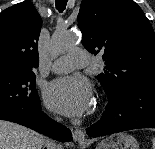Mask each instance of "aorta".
<instances>
[{"instance_id":"1","label":"aorta","mask_w":155,"mask_h":149,"mask_svg":"<svg viewBox=\"0 0 155 149\" xmlns=\"http://www.w3.org/2000/svg\"><path fill=\"white\" fill-rule=\"evenodd\" d=\"M80 40V36L69 33L65 28L58 27L51 40V53L59 54L73 48Z\"/></svg>"}]
</instances>
